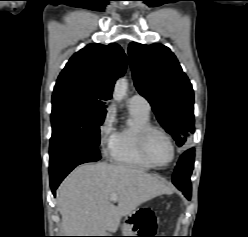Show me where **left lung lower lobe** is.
Here are the masks:
<instances>
[{
	"instance_id": "1",
	"label": "left lung lower lobe",
	"mask_w": 248,
	"mask_h": 237,
	"mask_svg": "<svg viewBox=\"0 0 248 237\" xmlns=\"http://www.w3.org/2000/svg\"><path fill=\"white\" fill-rule=\"evenodd\" d=\"M194 157V148L183 153L178 161L172 180L174 185L183 192L188 200L191 198L190 176L193 170Z\"/></svg>"
}]
</instances>
